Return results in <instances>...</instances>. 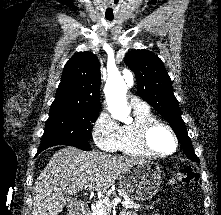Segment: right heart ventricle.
<instances>
[{
	"label": "right heart ventricle",
	"mask_w": 221,
	"mask_h": 215,
	"mask_svg": "<svg viewBox=\"0 0 221 215\" xmlns=\"http://www.w3.org/2000/svg\"><path fill=\"white\" fill-rule=\"evenodd\" d=\"M134 121L131 124L120 127V137L118 142V148L120 152L132 155L141 156L146 155L141 151L136 144V135L138 129L146 122L155 120L156 117L152 114L149 108L134 109Z\"/></svg>",
	"instance_id": "1"
}]
</instances>
